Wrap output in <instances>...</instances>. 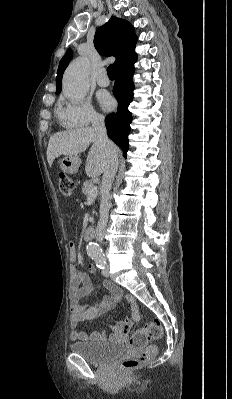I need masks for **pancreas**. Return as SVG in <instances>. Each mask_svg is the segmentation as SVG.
<instances>
[{
	"instance_id": "pancreas-1",
	"label": "pancreas",
	"mask_w": 232,
	"mask_h": 399,
	"mask_svg": "<svg viewBox=\"0 0 232 399\" xmlns=\"http://www.w3.org/2000/svg\"><path fill=\"white\" fill-rule=\"evenodd\" d=\"M94 188V182L93 180H87V182H84L82 192L85 194V196H88L90 190Z\"/></svg>"
}]
</instances>
